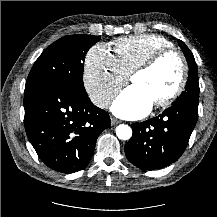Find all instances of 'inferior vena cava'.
Here are the masks:
<instances>
[{
  "label": "inferior vena cava",
  "mask_w": 217,
  "mask_h": 217,
  "mask_svg": "<svg viewBox=\"0 0 217 217\" xmlns=\"http://www.w3.org/2000/svg\"><path fill=\"white\" fill-rule=\"evenodd\" d=\"M91 101L93 104L100 108H107L111 101V96L107 93L98 94L96 96L91 97Z\"/></svg>",
  "instance_id": "obj_1"
}]
</instances>
